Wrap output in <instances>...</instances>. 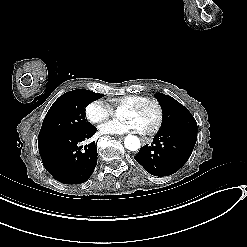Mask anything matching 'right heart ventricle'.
<instances>
[{
	"mask_svg": "<svg viewBox=\"0 0 247 247\" xmlns=\"http://www.w3.org/2000/svg\"><path fill=\"white\" fill-rule=\"evenodd\" d=\"M142 97L143 96H137V95L123 96V97H120V98L113 100V102L115 105H118V106H126V105H129V104L136 102L137 100L141 99Z\"/></svg>",
	"mask_w": 247,
	"mask_h": 247,
	"instance_id": "obj_1",
	"label": "right heart ventricle"
}]
</instances>
